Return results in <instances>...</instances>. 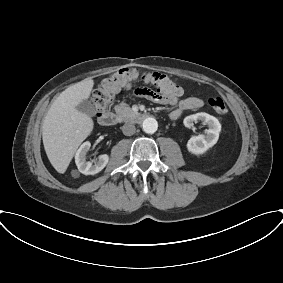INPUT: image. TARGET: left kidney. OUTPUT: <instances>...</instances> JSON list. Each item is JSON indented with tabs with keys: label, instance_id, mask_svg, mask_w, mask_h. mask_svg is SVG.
<instances>
[{
	"label": "left kidney",
	"instance_id": "5707ae66",
	"mask_svg": "<svg viewBox=\"0 0 283 283\" xmlns=\"http://www.w3.org/2000/svg\"><path fill=\"white\" fill-rule=\"evenodd\" d=\"M197 120L205 122L209 129L206 131V135L191 137L187 142V149L192 154L200 155L217 143L221 132V124L217 118L204 112L187 116L183 123L186 127L190 128L193 126V122Z\"/></svg>",
	"mask_w": 283,
	"mask_h": 283
}]
</instances>
